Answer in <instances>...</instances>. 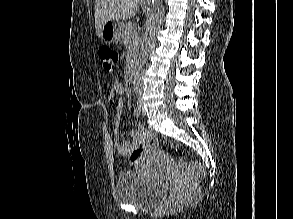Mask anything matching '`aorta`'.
<instances>
[{
	"label": "aorta",
	"mask_w": 293,
	"mask_h": 219,
	"mask_svg": "<svg viewBox=\"0 0 293 219\" xmlns=\"http://www.w3.org/2000/svg\"><path fill=\"white\" fill-rule=\"evenodd\" d=\"M164 14L163 0H153L152 14L148 20L145 36L141 43V50L139 59L136 65V71L134 75V88L139 91L142 86V72L143 67L146 64L152 45L154 44L156 31L161 23Z\"/></svg>",
	"instance_id": "1"
}]
</instances>
